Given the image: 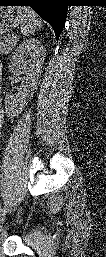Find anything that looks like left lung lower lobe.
<instances>
[{
	"label": "left lung lower lobe",
	"instance_id": "1",
	"mask_svg": "<svg viewBox=\"0 0 106 257\" xmlns=\"http://www.w3.org/2000/svg\"><path fill=\"white\" fill-rule=\"evenodd\" d=\"M0 4L10 6H30L53 28L58 40L67 16L66 0H0Z\"/></svg>",
	"mask_w": 106,
	"mask_h": 257
}]
</instances>
